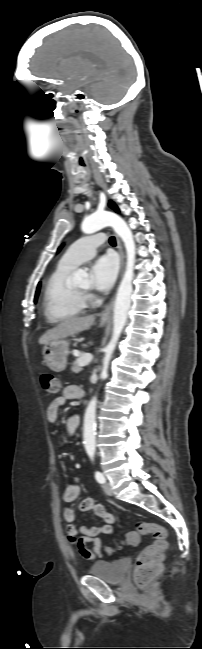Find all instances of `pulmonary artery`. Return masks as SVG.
<instances>
[{"mask_svg": "<svg viewBox=\"0 0 202 649\" xmlns=\"http://www.w3.org/2000/svg\"><path fill=\"white\" fill-rule=\"evenodd\" d=\"M104 242L105 237L103 234L82 237L69 246L62 256L61 262L76 267L93 257Z\"/></svg>", "mask_w": 202, "mask_h": 649, "instance_id": "obj_1", "label": "pulmonary artery"}]
</instances>
